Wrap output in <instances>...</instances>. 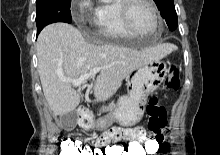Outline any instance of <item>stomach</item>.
I'll return each mask as SVG.
<instances>
[{
    "label": "stomach",
    "instance_id": "obj_1",
    "mask_svg": "<svg viewBox=\"0 0 220 155\" xmlns=\"http://www.w3.org/2000/svg\"><path fill=\"white\" fill-rule=\"evenodd\" d=\"M167 72V63L161 60L138 68L129 78L128 95L119 99V105L113 112L95 123H90L89 128L104 130L114 121L122 126H132L138 123L143 117L148 96L160 87Z\"/></svg>",
    "mask_w": 220,
    "mask_h": 155
}]
</instances>
